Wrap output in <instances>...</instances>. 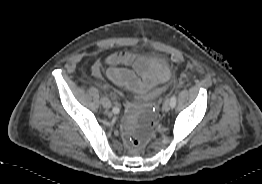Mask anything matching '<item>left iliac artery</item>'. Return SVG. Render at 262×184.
<instances>
[{
    "mask_svg": "<svg viewBox=\"0 0 262 184\" xmlns=\"http://www.w3.org/2000/svg\"><path fill=\"white\" fill-rule=\"evenodd\" d=\"M170 105H171L172 108L175 107V105H176V96H175V95H173V96L171 97V99H170Z\"/></svg>",
    "mask_w": 262,
    "mask_h": 184,
    "instance_id": "obj_1",
    "label": "left iliac artery"
}]
</instances>
